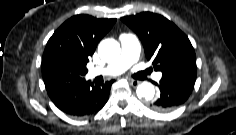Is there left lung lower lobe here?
I'll return each instance as SVG.
<instances>
[{
  "label": "left lung lower lobe",
  "instance_id": "left-lung-lower-lobe-1",
  "mask_svg": "<svg viewBox=\"0 0 236 135\" xmlns=\"http://www.w3.org/2000/svg\"><path fill=\"white\" fill-rule=\"evenodd\" d=\"M197 72H173L162 75L160 97L150 103L153 110L168 112L186 102L195 84Z\"/></svg>",
  "mask_w": 236,
  "mask_h": 135
}]
</instances>
